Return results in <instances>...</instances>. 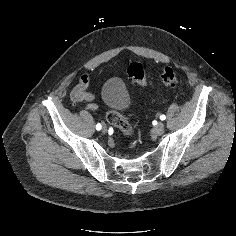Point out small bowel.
I'll use <instances>...</instances> for the list:
<instances>
[{
    "mask_svg": "<svg viewBox=\"0 0 236 236\" xmlns=\"http://www.w3.org/2000/svg\"><path fill=\"white\" fill-rule=\"evenodd\" d=\"M89 76L84 74L80 77V81L72 92L73 99L75 101L85 100L88 102V108L91 110H96L98 105L95 102V96L86 91L89 84Z\"/></svg>",
    "mask_w": 236,
    "mask_h": 236,
    "instance_id": "c3829d8e",
    "label": "small bowel"
}]
</instances>
